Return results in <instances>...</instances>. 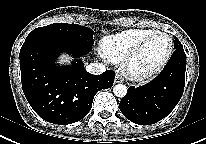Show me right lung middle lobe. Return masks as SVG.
Returning <instances> with one entry per match:
<instances>
[{
    "instance_id": "1",
    "label": "right lung middle lobe",
    "mask_w": 206,
    "mask_h": 144,
    "mask_svg": "<svg viewBox=\"0 0 206 144\" xmlns=\"http://www.w3.org/2000/svg\"><path fill=\"white\" fill-rule=\"evenodd\" d=\"M94 31L90 28L67 23H54L44 27L34 29L26 38V40L35 37H46L52 40L64 41L74 45H78L87 49H91Z\"/></svg>"
}]
</instances>
